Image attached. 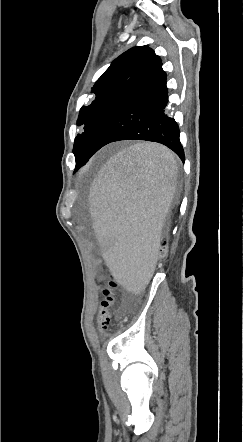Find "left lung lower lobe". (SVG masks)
I'll use <instances>...</instances> for the list:
<instances>
[{
    "label": "left lung lower lobe",
    "instance_id": "left-lung-lower-lobe-1",
    "mask_svg": "<svg viewBox=\"0 0 243 442\" xmlns=\"http://www.w3.org/2000/svg\"><path fill=\"white\" fill-rule=\"evenodd\" d=\"M168 89L161 61L111 111L90 143L82 163L108 143L120 140L158 142L172 149L184 162L179 128L166 113Z\"/></svg>",
    "mask_w": 243,
    "mask_h": 442
}]
</instances>
